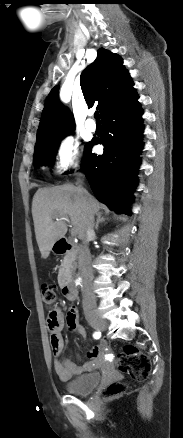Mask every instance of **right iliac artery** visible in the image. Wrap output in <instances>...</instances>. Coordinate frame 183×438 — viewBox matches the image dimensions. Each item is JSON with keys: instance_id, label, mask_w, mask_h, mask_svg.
Returning a JSON list of instances; mask_svg holds the SVG:
<instances>
[{"instance_id": "right-iliac-artery-1", "label": "right iliac artery", "mask_w": 183, "mask_h": 438, "mask_svg": "<svg viewBox=\"0 0 183 438\" xmlns=\"http://www.w3.org/2000/svg\"><path fill=\"white\" fill-rule=\"evenodd\" d=\"M93 337H94L95 339H99V338L101 337V332H95V333L93 334Z\"/></svg>"}]
</instances>
